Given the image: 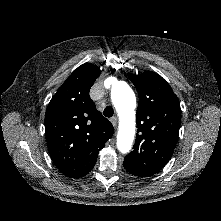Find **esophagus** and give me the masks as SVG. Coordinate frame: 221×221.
Here are the masks:
<instances>
[{
	"label": "esophagus",
	"mask_w": 221,
	"mask_h": 221,
	"mask_svg": "<svg viewBox=\"0 0 221 221\" xmlns=\"http://www.w3.org/2000/svg\"><path fill=\"white\" fill-rule=\"evenodd\" d=\"M110 121H111L112 125H113L114 127H116V125H117V117H112V118L110 119Z\"/></svg>",
	"instance_id": "obj_1"
}]
</instances>
